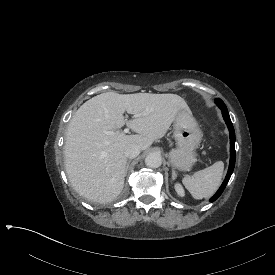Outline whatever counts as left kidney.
Listing matches in <instances>:
<instances>
[{
	"instance_id": "1",
	"label": "left kidney",
	"mask_w": 275,
	"mask_h": 275,
	"mask_svg": "<svg viewBox=\"0 0 275 275\" xmlns=\"http://www.w3.org/2000/svg\"><path fill=\"white\" fill-rule=\"evenodd\" d=\"M174 190L179 197L186 196L185 188L183 187L181 182H179V181L174 182Z\"/></svg>"
}]
</instances>
